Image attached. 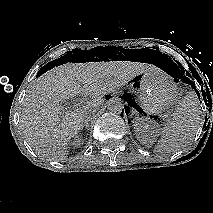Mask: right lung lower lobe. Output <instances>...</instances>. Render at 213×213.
Here are the masks:
<instances>
[{"mask_svg": "<svg viewBox=\"0 0 213 213\" xmlns=\"http://www.w3.org/2000/svg\"><path fill=\"white\" fill-rule=\"evenodd\" d=\"M47 66V65H46ZM44 66L43 68H41V70L38 72V75H40L42 73V71L44 70V68L46 67Z\"/></svg>", "mask_w": 213, "mask_h": 213, "instance_id": "obj_1", "label": "right lung lower lobe"}]
</instances>
